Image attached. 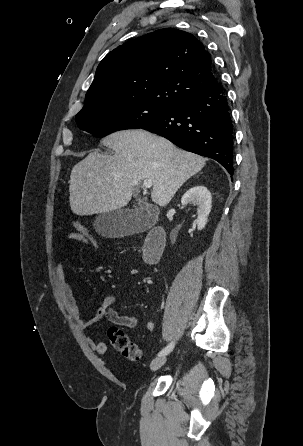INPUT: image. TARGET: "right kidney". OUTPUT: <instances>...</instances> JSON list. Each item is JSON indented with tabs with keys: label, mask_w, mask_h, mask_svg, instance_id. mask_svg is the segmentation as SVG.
Here are the masks:
<instances>
[{
	"label": "right kidney",
	"mask_w": 303,
	"mask_h": 446,
	"mask_svg": "<svg viewBox=\"0 0 303 446\" xmlns=\"http://www.w3.org/2000/svg\"><path fill=\"white\" fill-rule=\"evenodd\" d=\"M181 203L197 206V227L198 230H202L207 224L211 211L212 197L208 189L201 185L192 187L183 195Z\"/></svg>",
	"instance_id": "right-kidney-1"
}]
</instances>
